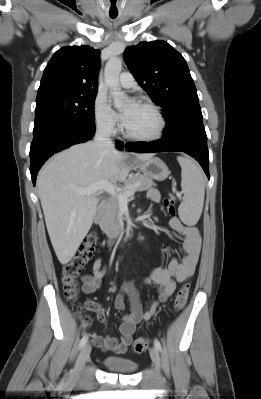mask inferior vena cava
Wrapping results in <instances>:
<instances>
[{
	"label": "inferior vena cava",
	"instance_id": "obj_1",
	"mask_svg": "<svg viewBox=\"0 0 261 399\" xmlns=\"http://www.w3.org/2000/svg\"><path fill=\"white\" fill-rule=\"evenodd\" d=\"M95 141L102 143L111 149L114 148V144L110 139V128L108 125H100L97 127Z\"/></svg>",
	"mask_w": 261,
	"mask_h": 399
}]
</instances>
